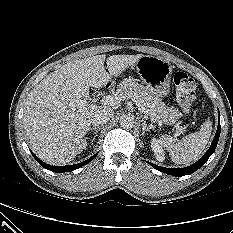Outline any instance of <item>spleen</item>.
Listing matches in <instances>:
<instances>
[{"instance_id": "3e777b00", "label": "spleen", "mask_w": 233, "mask_h": 233, "mask_svg": "<svg viewBox=\"0 0 233 233\" xmlns=\"http://www.w3.org/2000/svg\"><path fill=\"white\" fill-rule=\"evenodd\" d=\"M212 132V123L205 121L199 132L186 135L176 141L173 137L163 135L159 142L169 152L173 162L188 164L198 159L205 150Z\"/></svg>"}]
</instances>
